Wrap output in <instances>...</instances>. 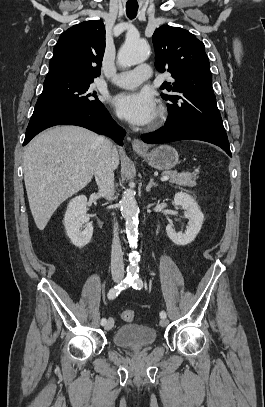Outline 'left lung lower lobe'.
<instances>
[{"label":"left lung lower lobe","instance_id":"1","mask_svg":"<svg viewBox=\"0 0 265 407\" xmlns=\"http://www.w3.org/2000/svg\"><path fill=\"white\" fill-rule=\"evenodd\" d=\"M141 138L146 143H166L185 139L206 141L221 147L228 155L231 156L227 136L196 125H167L159 131L151 134H145Z\"/></svg>","mask_w":265,"mask_h":407}]
</instances>
